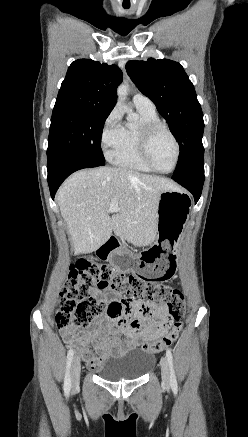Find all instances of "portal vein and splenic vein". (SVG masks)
<instances>
[{"label":"portal vein and splenic vein","mask_w":248,"mask_h":437,"mask_svg":"<svg viewBox=\"0 0 248 437\" xmlns=\"http://www.w3.org/2000/svg\"><path fill=\"white\" fill-rule=\"evenodd\" d=\"M120 210V208H119V206H118V203H117V201H116V199H112L111 200V204H110V206H109V212H117V211H119Z\"/></svg>","instance_id":"portal-vein-and-splenic-vein-1"}]
</instances>
